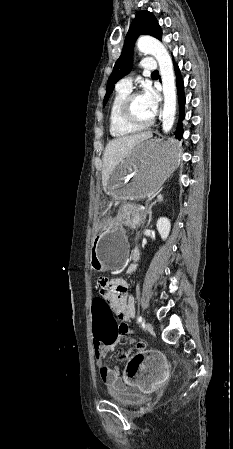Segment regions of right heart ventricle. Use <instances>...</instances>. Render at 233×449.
<instances>
[{
  "label": "right heart ventricle",
  "mask_w": 233,
  "mask_h": 449,
  "mask_svg": "<svg viewBox=\"0 0 233 449\" xmlns=\"http://www.w3.org/2000/svg\"><path fill=\"white\" fill-rule=\"evenodd\" d=\"M131 89L125 87H116L115 93L112 97L109 106V131L112 137L121 138L134 134L140 128L131 126L125 123L119 114V107L123 98L130 92Z\"/></svg>",
  "instance_id": "right-heart-ventricle-1"
}]
</instances>
